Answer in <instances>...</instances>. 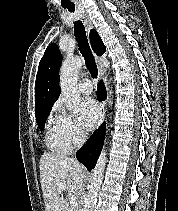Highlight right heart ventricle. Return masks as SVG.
I'll list each match as a JSON object with an SVG mask.
<instances>
[{"label":"right heart ventricle","mask_w":178,"mask_h":211,"mask_svg":"<svg viewBox=\"0 0 178 211\" xmlns=\"http://www.w3.org/2000/svg\"><path fill=\"white\" fill-rule=\"evenodd\" d=\"M45 141L47 146L56 152H67L70 148L66 140L61 134L56 116L52 117L46 129Z\"/></svg>","instance_id":"e07e8e85"}]
</instances>
